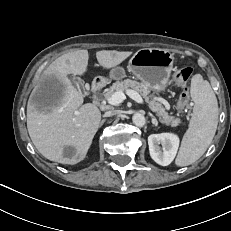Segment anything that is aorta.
Returning a JSON list of instances; mask_svg holds the SVG:
<instances>
[{
  "label": "aorta",
  "instance_id": "762f6f07",
  "mask_svg": "<svg viewBox=\"0 0 231 231\" xmlns=\"http://www.w3.org/2000/svg\"><path fill=\"white\" fill-rule=\"evenodd\" d=\"M132 121L138 127H143L146 123V119H145L144 115L141 113H135L132 116Z\"/></svg>",
  "mask_w": 231,
  "mask_h": 231
}]
</instances>
